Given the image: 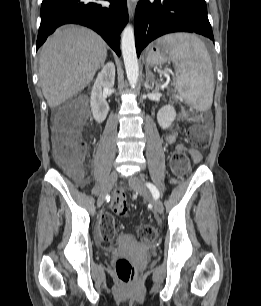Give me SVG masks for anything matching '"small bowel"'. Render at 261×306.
Listing matches in <instances>:
<instances>
[{
  "mask_svg": "<svg viewBox=\"0 0 261 306\" xmlns=\"http://www.w3.org/2000/svg\"><path fill=\"white\" fill-rule=\"evenodd\" d=\"M176 139H177V134L176 133L170 134L168 136V138H167L169 143H174L176 141ZM190 153H191V155H192V157H193L195 162H199L200 161L201 156H200V153L197 150L192 149L190 151Z\"/></svg>",
  "mask_w": 261,
  "mask_h": 306,
  "instance_id": "small-bowel-1",
  "label": "small bowel"
}]
</instances>
